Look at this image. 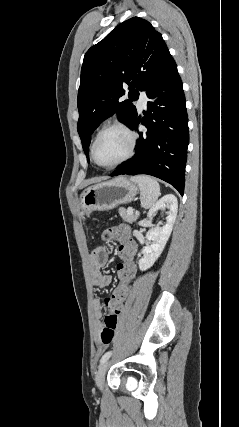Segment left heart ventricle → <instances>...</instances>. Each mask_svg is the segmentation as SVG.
<instances>
[{
  "label": "left heart ventricle",
  "instance_id": "b2bd125f",
  "mask_svg": "<svg viewBox=\"0 0 239 427\" xmlns=\"http://www.w3.org/2000/svg\"><path fill=\"white\" fill-rule=\"evenodd\" d=\"M129 144V137L124 131L109 130L99 139L95 148V157L100 164H114L126 155Z\"/></svg>",
  "mask_w": 239,
  "mask_h": 427
}]
</instances>
